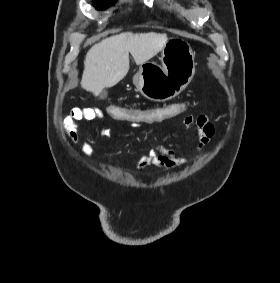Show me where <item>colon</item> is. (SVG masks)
I'll use <instances>...</instances> for the list:
<instances>
[{
  "instance_id": "5ec220e1",
  "label": "colon",
  "mask_w": 280,
  "mask_h": 283,
  "mask_svg": "<svg viewBox=\"0 0 280 283\" xmlns=\"http://www.w3.org/2000/svg\"><path fill=\"white\" fill-rule=\"evenodd\" d=\"M186 107V99H177L176 103L155 105V107L150 108L124 107V105H118V103H109L106 111L110 119H119L120 122L155 125L156 122H167V119H176V116H182Z\"/></svg>"
}]
</instances>
